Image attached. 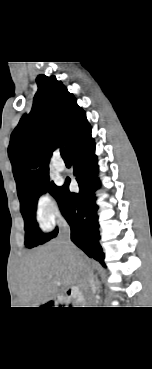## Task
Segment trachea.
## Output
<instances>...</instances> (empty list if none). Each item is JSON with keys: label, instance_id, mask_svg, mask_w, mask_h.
Here are the masks:
<instances>
[{"label": "trachea", "instance_id": "obj_1", "mask_svg": "<svg viewBox=\"0 0 152 369\" xmlns=\"http://www.w3.org/2000/svg\"><path fill=\"white\" fill-rule=\"evenodd\" d=\"M60 153H61V156H62L63 159H69V156H68V153H67L65 147H62L60 149Z\"/></svg>", "mask_w": 152, "mask_h": 369}]
</instances>
